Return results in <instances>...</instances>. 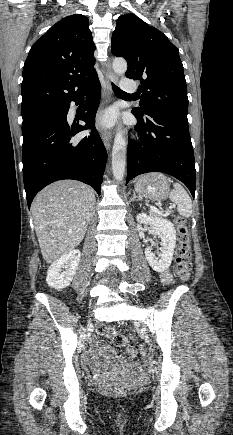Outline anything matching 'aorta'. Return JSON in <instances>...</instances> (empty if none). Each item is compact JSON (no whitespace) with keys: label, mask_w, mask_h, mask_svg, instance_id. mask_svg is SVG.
<instances>
[{"label":"aorta","mask_w":233,"mask_h":435,"mask_svg":"<svg viewBox=\"0 0 233 435\" xmlns=\"http://www.w3.org/2000/svg\"><path fill=\"white\" fill-rule=\"evenodd\" d=\"M113 70L118 75H123L127 70V63L122 58H117L113 61ZM126 166V140L121 130V126L118 127L116 133L113 149H112V171L114 179L122 181L124 178Z\"/></svg>","instance_id":"762f6f07"}]
</instances>
